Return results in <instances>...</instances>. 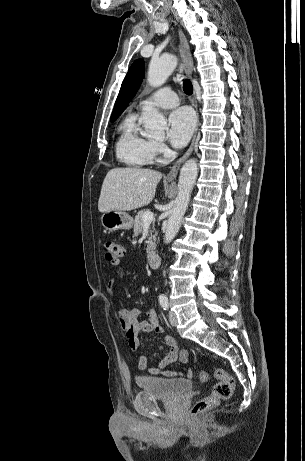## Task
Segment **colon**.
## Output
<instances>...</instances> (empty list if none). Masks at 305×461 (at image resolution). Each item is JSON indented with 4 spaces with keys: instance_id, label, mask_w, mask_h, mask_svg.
<instances>
[{
    "instance_id": "colon-1",
    "label": "colon",
    "mask_w": 305,
    "mask_h": 461,
    "mask_svg": "<svg viewBox=\"0 0 305 461\" xmlns=\"http://www.w3.org/2000/svg\"><path fill=\"white\" fill-rule=\"evenodd\" d=\"M106 259L112 264L117 265L125 255L123 245L117 240L109 239L104 243ZM217 383L213 386L209 395L199 399L191 409V415L197 416L204 413L222 401L231 397L235 385L233 376L223 369H217L214 373ZM203 382L207 381L209 374L206 370H201L198 375Z\"/></svg>"
}]
</instances>
